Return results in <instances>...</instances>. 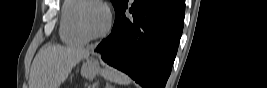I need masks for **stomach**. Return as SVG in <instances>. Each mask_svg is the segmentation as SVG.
<instances>
[{
  "mask_svg": "<svg viewBox=\"0 0 267 88\" xmlns=\"http://www.w3.org/2000/svg\"><path fill=\"white\" fill-rule=\"evenodd\" d=\"M100 72V67L96 61L88 59L83 63L81 75L87 79L94 78Z\"/></svg>",
  "mask_w": 267,
  "mask_h": 88,
  "instance_id": "obj_1",
  "label": "stomach"
}]
</instances>
